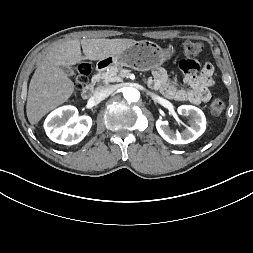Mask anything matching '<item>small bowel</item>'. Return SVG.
Wrapping results in <instances>:
<instances>
[{
  "label": "small bowel",
  "instance_id": "c3829d8e",
  "mask_svg": "<svg viewBox=\"0 0 253 253\" xmlns=\"http://www.w3.org/2000/svg\"><path fill=\"white\" fill-rule=\"evenodd\" d=\"M178 71L185 78L189 88L178 87L162 67L153 71L149 79V86L159 91L166 98L178 102L201 104L210 100L211 93L209 89L214 83L212 78L214 68L211 62L205 61L202 63L198 57L186 58L179 63ZM199 73L201 74L198 75Z\"/></svg>",
  "mask_w": 253,
  "mask_h": 253
}]
</instances>
